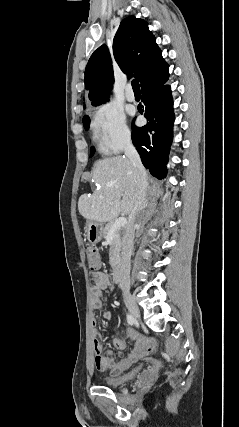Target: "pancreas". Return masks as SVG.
Instances as JSON below:
<instances>
[{"label":"pancreas","mask_w":239,"mask_h":427,"mask_svg":"<svg viewBox=\"0 0 239 427\" xmlns=\"http://www.w3.org/2000/svg\"><path fill=\"white\" fill-rule=\"evenodd\" d=\"M113 224H114V221H110L109 223L106 224V226L104 228L105 238H108ZM123 231H124L123 228H118L113 233V239L111 241L110 250H109L110 265L111 266L115 265L119 255H120L121 236H122Z\"/></svg>","instance_id":"1"}]
</instances>
